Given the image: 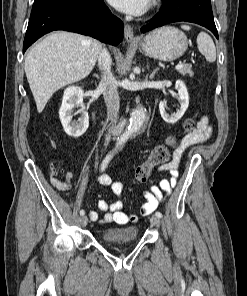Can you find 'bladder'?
I'll return each mask as SVG.
<instances>
[{
	"mask_svg": "<svg viewBox=\"0 0 247 296\" xmlns=\"http://www.w3.org/2000/svg\"><path fill=\"white\" fill-rule=\"evenodd\" d=\"M139 229L135 225L108 228L101 233L102 240L106 243L130 242L137 239Z\"/></svg>",
	"mask_w": 247,
	"mask_h": 296,
	"instance_id": "31cf9c89",
	"label": "bladder"
}]
</instances>
